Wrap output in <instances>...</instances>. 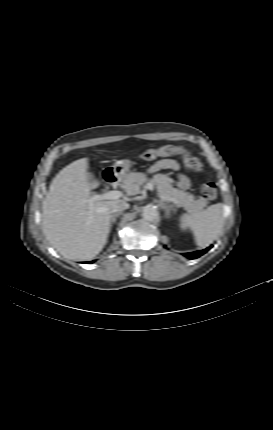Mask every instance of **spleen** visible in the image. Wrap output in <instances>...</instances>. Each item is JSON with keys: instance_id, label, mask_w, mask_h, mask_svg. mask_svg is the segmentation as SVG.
Instances as JSON below:
<instances>
[{"instance_id": "1", "label": "spleen", "mask_w": 273, "mask_h": 430, "mask_svg": "<svg viewBox=\"0 0 273 430\" xmlns=\"http://www.w3.org/2000/svg\"><path fill=\"white\" fill-rule=\"evenodd\" d=\"M180 221L190 228L196 244L201 248H205L216 239L223 228L224 205L223 203H217L199 213L189 212L183 214L180 217Z\"/></svg>"}]
</instances>
